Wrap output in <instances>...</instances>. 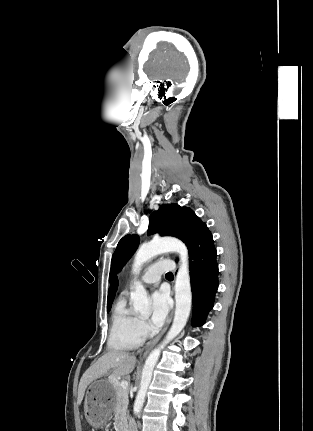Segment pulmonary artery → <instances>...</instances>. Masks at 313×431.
<instances>
[{
    "label": "pulmonary artery",
    "instance_id": "1",
    "mask_svg": "<svg viewBox=\"0 0 313 431\" xmlns=\"http://www.w3.org/2000/svg\"><path fill=\"white\" fill-rule=\"evenodd\" d=\"M174 264L170 260H160L150 265L141 277V282L145 285H156L159 283L163 273L172 271Z\"/></svg>",
    "mask_w": 313,
    "mask_h": 431
}]
</instances>
